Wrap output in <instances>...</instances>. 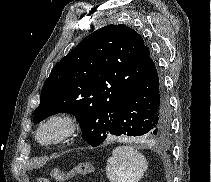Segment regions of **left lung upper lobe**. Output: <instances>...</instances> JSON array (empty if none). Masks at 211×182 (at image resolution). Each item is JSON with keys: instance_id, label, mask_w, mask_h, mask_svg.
<instances>
[{"instance_id": "left-lung-upper-lobe-1", "label": "left lung upper lobe", "mask_w": 211, "mask_h": 182, "mask_svg": "<svg viewBox=\"0 0 211 182\" xmlns=\"http://www.w3.org/2000/svg\"><path fill=\"white\" fill-rule=\"evenodd\" d=\"M151 62L143 38L126 25H108L84 38L52 69L41 90L34 123L70 113L95 147L112 130L117 112Z\"/></svg>"}]
</instances>
